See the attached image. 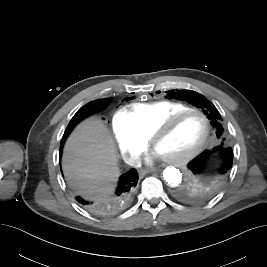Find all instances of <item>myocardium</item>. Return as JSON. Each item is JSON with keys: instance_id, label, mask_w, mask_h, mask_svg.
Segmentation results:
<instances>
[{"instance_id": "obj_1", "label": "myocardium", "mask_w": 267, "mask_h": 267, "mask_svg": "<svg viewBox=\"0 0 267 267\" xmlns=\"http://www.w3.org/2000/svg\"><path fill=\"white\" fill-rule=\"evenodd\" d=\"M191 114H196L202 117L205 124L204 136L202 140L199 142V144L189 152L182 155L165 158V160L169 163L185 164L194 157H196L197 155H199L206 148V146L208 145V140L211 130L210 120L208 116L203 111L193 108L174 113L167 119H165L160 125H158L150 136V144L152 145V147H155L157 141L163 135H165L177 122H179L181 119Z\"/></svg>"}]
</instances>
